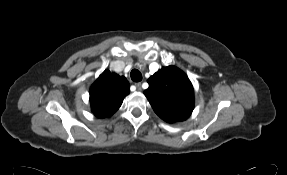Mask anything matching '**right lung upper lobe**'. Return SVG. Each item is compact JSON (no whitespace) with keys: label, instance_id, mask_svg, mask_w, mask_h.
<instances>
[{"label":"right lung upper lobe","instance_id":"right-lung-upper-lobe-1","mask_svg":"<svg viewBox=\"0 0 287 175\" xmlns=\"http://www.w3.org/2000/svg\"><path fill=\"white\" fill-rule=\"evenodd\" d=\"M130 92L127 79L105 70L90 88V103L94 115L106 118L114 114Z\"/></svg>","mask_w":287,"mask_h":175}]
</instances>
